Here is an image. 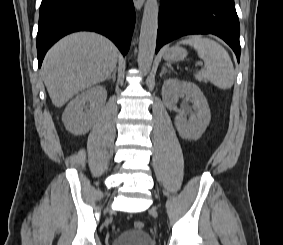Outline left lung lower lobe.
<instances>
[{
  "instance_id": "obj_1",
  "label": "left lung lower lobe",
  "mask_w": 283,
  "mask_h": 245,
  "mask_svg": "<svg viewBox=\"0 0 283 245\" xmlns=\"http://www.w3.org/2000/svg\"><path fill=\"white\" fill-rule=\"evenodd\" d=\"M188 34L222 38L240 60V24L234 0H162L156 53L166 43Z\"/></svg>"
}]
</instances>
